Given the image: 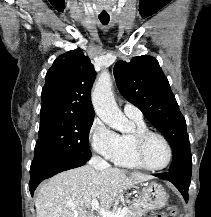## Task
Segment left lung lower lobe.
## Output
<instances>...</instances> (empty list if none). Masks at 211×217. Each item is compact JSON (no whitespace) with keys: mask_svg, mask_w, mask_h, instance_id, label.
<instances>
[{"mask_svg":"<svg viewBox=\"0 0 211 217\" xmlns=\"http://www.w3.org/2000/svg\"><path fill=\"white\" fill-rule=\"evenodd\" d=\"M154 176L173 183L176 188L181 192L185 201L188 202V189L190 186L191 173L184 171H168L165 173L155 174Z\"/></svg>","mask_w":211,"mask_h":217,"instance_id":"left-lung-lower-lobe-1","label":"left lung lower lobe"}]
</instances>
